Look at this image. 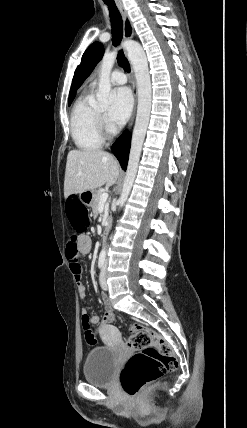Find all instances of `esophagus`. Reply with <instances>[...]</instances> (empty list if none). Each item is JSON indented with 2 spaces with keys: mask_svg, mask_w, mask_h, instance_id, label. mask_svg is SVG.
I'll return each instance as SVG.
<instances>
[{
  "mask_svg": "<svg viewBox=\"0 0 247 428\" xmlns=\"http://www.w3.org/2000/svg\"><path fill=\"white\" fill-rule=\"evenodd\" d=\"M118 8L120 10V13L122 15L123 18V35H124V39L125 40H129L131 38H133L134 36V28H133V24L130 20V17L127 13V11L125 10V8L122 5H118ZM131 86H132V92L134 95V109H133V113L128 125V132L131 130L133 123H134V119H135V114H136V104H137V84H136V79H135V74H134V70L133 67L131 65Z\"/></svg>",
  "mask_w": 247,
  "mask_h": 428,
  "instance_id": "1",
  "label": "esophagus"
}]
</instances>
